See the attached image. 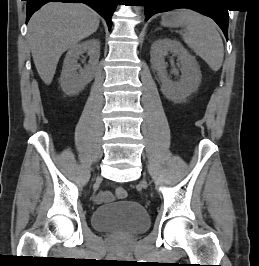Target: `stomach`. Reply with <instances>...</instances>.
Masks as SVG:
<instances>
[{
  "label": "stomach",
  "mask_w": 259,
  "mask_h": 266,
  "mask_svg": "<svg viewBox=\"0 0 259 266\" xmlns=\"http://www.w3.org/2000/svg\"><path fill=\"white\" fill-rule=\"evenodd\" d=\"M179 11L180 10L170 11L163 14L161 25L166 27H179L184 25L185 21L179 16Z\"/></svg>",
  "instance_id": "1"
}]
</instances>
